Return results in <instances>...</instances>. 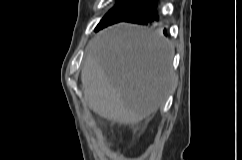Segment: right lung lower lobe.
Instances as JSON below:
<instances>
[{"instance_id":"1","label":"right lung lower lobe","mask_w":242,"mask_h":160,"mask_svg":"<svg viewBox=\"0 0 242 160\" xmlns=\"http://www.w3.org/2000/svg\"><path fill=\"white\" fill-rule=\"evenodd\" d=\"M121 21L132 22L141 25H148L158 21L156 2L154 0H149ZM164 34L166 35L165 30Z\"/></svg>"}]
</instances>
